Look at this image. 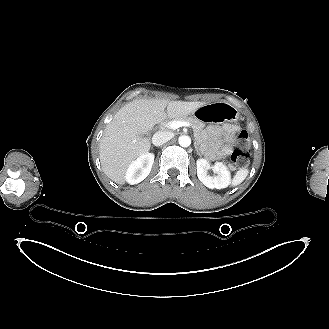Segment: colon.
I'll list each match as a JSON object with an SVG mask.
<instances>
[{"instance_id":"obj_1","label":"colon","mask_w":329,"mask_h":329,"mask_svg":"<svg viewBox=\"0 0 329 329\" xmlns=\"http://www.w3.org/2000/svg\"><path fill=\"white\" fill-rule=\"evenodd\" d=\"M249 144L248 130L242 127L238 135V148L231 155L232 161L236 166L244 167L248 164L250 159Z\"/></svg>"}]
</instances>
